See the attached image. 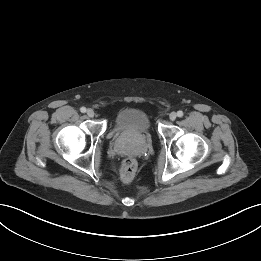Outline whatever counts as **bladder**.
Returning a JSON list of instances; mask_svg holds the SVG:
<instances>
[{
  "label": "bladder",
  "mask_w": 261,
  "mask_h": 261,
  "mask_svg": "<svg viewBox=\"0 0 261 261\" xmlns=\"http://www.w3.org/2000/svg\"><path fill=\"white\" fill-rule=\"evenodd\" d=\"M113 129L117 133H146L151 129V119L150 116L141 109L126 108L116 115Z\"/></svg>",
  "instance_id": "31cf9c89"
}]
</instances>
